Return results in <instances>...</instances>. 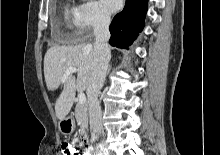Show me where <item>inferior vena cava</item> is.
I'll return each instance as SVG.
<instances>
[{
    "label": "inferior vena cava",
    "mask_w": 220,
    "mask_h": 155,
    "mask_svg": "<svg viewBox=\"0 0 220 155\" xmlns=\"http://www.w3.org/2000/svg\"><path fill=\"white\" fill-rule=\"evenodd\" d=\"M109 24V14L100 13L94 26L95 43L90 82L87 88L89 123L93 140L104 133L98 96L103 87L110 60V49L107 43L110 38Z\"/></svg>",
    "instance_id": "inferior-vena-cava-1"
}]
</instances>
